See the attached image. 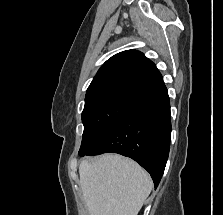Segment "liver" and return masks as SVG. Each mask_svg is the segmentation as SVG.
<instances>
[{
  "label": "liver",
  "instance_id": "liver-1",
  "mask_svg": "<svg viewBox=\"0 0 223 215\" xmlns=\"http://www.w3.org/2000/svg\"><path fill=\"white\" fill-rule=\"evenodd\" d=\"M79 175L90 215H137L153 187L141 165L118 153H104L92 163L85 157Z\"/></svg>",
  "mask_w": 223,
  "mask_h": 215
}]
</instances>
